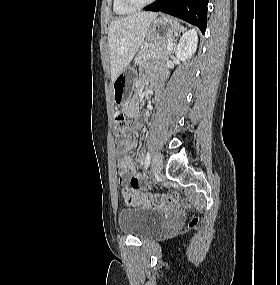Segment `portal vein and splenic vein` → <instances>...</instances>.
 I'll return each mask as SVG.
<instances>
[{
	"label": "portal vein and splenic vein",
	"instance_id": "18ae733b",
	"mask_svg": "<svg viewBox=\"0 0 280 285\" xmlns=\"http://www.w3.org/2000/svg\"><path fill=\"white\" fill-rule=\"evenodd\" d=\"M173 49L172 45L167 46L166 50L171 51Z\"/></svg>",
	"mask_w": 280,
	"mask_h": 285
}]
</instances>
